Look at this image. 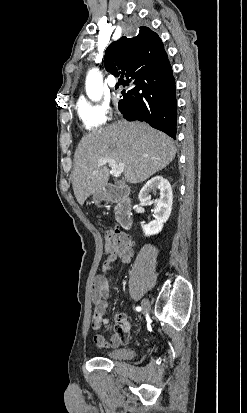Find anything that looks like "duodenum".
Wrapping results in <instances>:
<instances>
[{
	"instance_id": "1",
	"label": "duodenum",
	"mask_w": 247,
	"mask_h": 413,
	"mask_svg": "<svg viewBox=\"0 0 247 413\" xmlns=\"http://www.w3.org/2000/svg\"><path fill=\"white\" fill-rule=\"evenodd\" d=\"M105 199L114 202L115 217L119 225L125 229L132 226L130 192L126 187L108 184L104 187Z\"/></svg>"
}]
</instances>
